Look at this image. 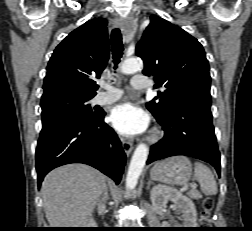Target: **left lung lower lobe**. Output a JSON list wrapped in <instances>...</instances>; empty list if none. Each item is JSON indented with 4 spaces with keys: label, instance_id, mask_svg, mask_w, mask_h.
<instances>
[{
    "label": "left lung lower lobe",
    "instance_id": "obj_1",
    "mask_svg": "<svg viewBox=\"0 0 252 231\" xmlns=\"http://www.w3.org/2000/svg\"><path fill=\"white\" fill-rule=\"evenodd\" d=\"M211 102L197 97L174 101L155 117L164 137L150 149L147 164L175 155L191 156L213 165L220 176V153L212 124Z\"/></svg>",
    "mask_w": 252,
    "mask_h": 231
}]
</instances>
